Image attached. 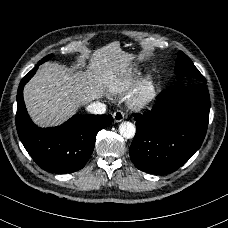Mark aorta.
Returning a JSON list of instances; mask_svg holds the SVG:
<instances>
[{"mask_svg":"<svg viewBox=\"0 0 228 228\" xmlns=\"http://www.w3.org/2000/svg\"><path fill=\"white\" fill-rule=\"evenodd\" d=\"M119 132L120 135L125 139H132L135 137L136 134V128L135 126L130 122H122L119 125Z\"/></svg>","mask_w":228,"mask_h":228,"instance_id":"762f6f07","label":"aorta"}]
</instances>
